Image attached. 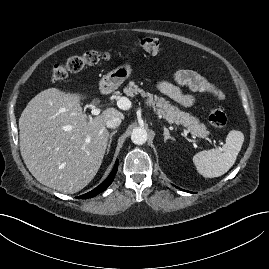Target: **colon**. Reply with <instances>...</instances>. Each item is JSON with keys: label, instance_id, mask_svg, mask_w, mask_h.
<instances>
[{"label": "colon", "instance_id": "obj_1", "mask_svg": "<svg viewBox=\"0 0 269 269\" xmlns=\"http://www.w3.org/2000/svg\"><path fill=\"white\" fill-rule=\"evenodd\" d=\"M162 50V44L159 39L146 37L140 39L132 48V52H146L149 54H157ZM120 53H111L107 51L87 50L79 55L68 58L64 63L57 64L52 68L51 78L53 81H61L68 75L80 72L88 66H95L102 62L117 59ZM209 123L216 129H222L227 123V116L220 107H212L209 109Z\"/></svg>", "mask_w": 269, "mask_h": 269}]
</instances>
